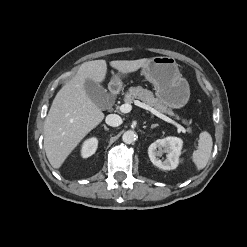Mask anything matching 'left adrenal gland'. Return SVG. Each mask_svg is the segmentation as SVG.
<instances>
[{
    "label": "left adrenal gland",
    "mask_w": 247,
    "mask_h": 247,
    "mask_svg": "<svg viewBox=\"0 0 247 247\" xmlns=\"http://www.w3.org/2000/svg\"><path fill=\"white\" fill-rule=\"evenodd\" d=\"M157 126H159V125L158 124H152L151 125V129H153V128L157 127Z\"/></svg>",
    "instance_id": "obj_1"
}]
</instances>
